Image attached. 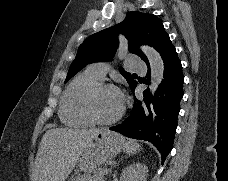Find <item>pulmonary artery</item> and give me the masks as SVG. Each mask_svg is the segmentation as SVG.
<instances>
[{
    "label": "pulmonary artery",
    "mask_w": 228,
    "mask_h": 181,
    "mask_svg": "<svg viewBox=\"0 0 228 181\" xmlns=\"http://www.w3.org/2000/svg\"><path fill=\"white\" fill-rule=\"evenodd\" d=\"M126 62L128 67H132L133 71H146V66H134L133 62H138V57H126ZM108 65V64H106ZM90 70H86V75H94L98 79H103L105 77L104 73H100L99 70L105 69V62H94V65L89 66ZM110 69V68H107Z\"/></svg>",
    "instance_id": "obj_1"
}]
</instances>
